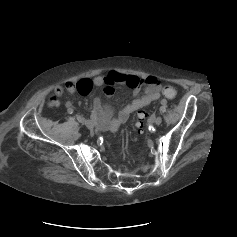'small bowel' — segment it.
<instances>
[{
	"mask_svg": "<svg viewBox=\"0 0 237 237\" xmlns=\"http://www.w3.org/2000/svg\"><path fill=\"white\" fill-rule=\"evenodd\" d=\"M117 84H123L132 88L134 98L124 105L115 117L112 116L111 107L103 104L99 98L94 99L91 112L93 120L99 125L111 131H116L132 112L159 99L162 85L158 78L150 76L140 79L133 75L112 71L104 77L98 76L94 79H82L77 82L58 85L55 87L54 93L58 96L63 95L65 92H77L82 95H88L93 89H101L106 95H112L114 93V86ZM142 87H144V94L139 96ZM69 105L70 104L67 103V106Z\"/></svg>",
	"mask_w": 237,
	"mask_h": 237,
	"instance_id": "small-bowel-1",
	"label": "small bowel"
}]
</instances>
